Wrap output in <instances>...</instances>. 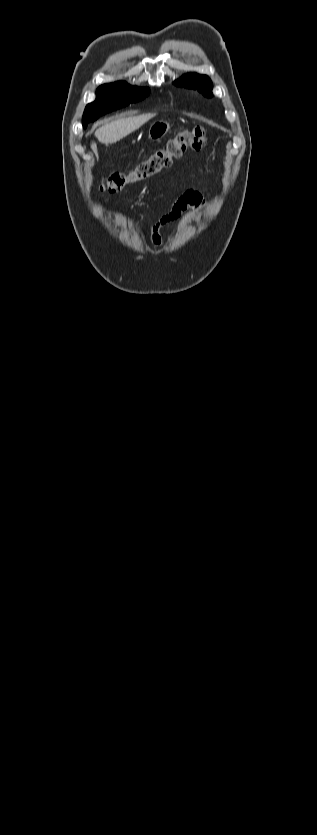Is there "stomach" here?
<instances>
[{
  "instance_id": "0dacf381",
  "label": "stomach",
  "mask_w": 317,
  "mask_h": 835,
  "mask_svg": "<svg viewBox=\"0 0 317 835\" xmlns=\"http://www.w3.org/2000/svg\"><path fill=\"white\" fill-rule=\"evenodd\" d=\"M171 124L167 121H157L151 124L148 130V137L151 141H159L163 138L170 130Z\"/></svg>"
}]
</instances>
